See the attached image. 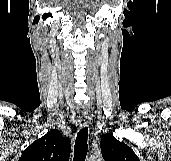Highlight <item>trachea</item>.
Listing matches in <instances>:
<instances>
[{
  "mask_svg": "<svg viewBox=\"0 0 171 161\" xmlns=\"http://www.w3.org/2000/svg\"><path fill=\"white\" fill-rule=\"evenodd\" d=\"M88 127H83L77 134L74 145V161H84L88 150Z\"/></svg>",
  "mask_w": 171,
  "mask_h": 161,
  "instance_id": "trachea-1",
  "label": "trachea"
}]
</instances>
